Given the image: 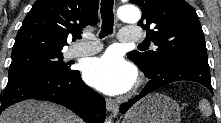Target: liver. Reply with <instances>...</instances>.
<instances>
[{"instance_id": "liver-1", "label": "liver", "mask_w": 221, "mask_h": 123, "mask_svg": "<svg viewBox=\"0 0 221 123\" xmlns=\"http://www.w3.org/2000/svg\"><path fill=\"white\" fill-rule=\"evenodd\" d=\"M0 123H82V120L57 104L26 100L3 111Z\"/></svg>"}]
</instances>
